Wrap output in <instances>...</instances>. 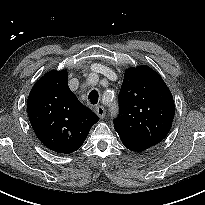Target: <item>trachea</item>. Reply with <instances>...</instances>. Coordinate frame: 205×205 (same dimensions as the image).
<instances>
[{
	"label": "trachea",
	"mask_w": 205,
	"mask_h": 205,
	"mask_svg": "<svg viewBox=\"0 0 205 205\" xmlns=\"http://www.w3.org/2000/svg\"><path fill=\"white\" fill-rule=\"evenodd\" d=\"M89 100L90 102L95 105L98 103V100H99V94H98V91L97 90H92L90 93H89Z\"/></svg>",
	"instance_id": "3493384b"
}]
</instances>
